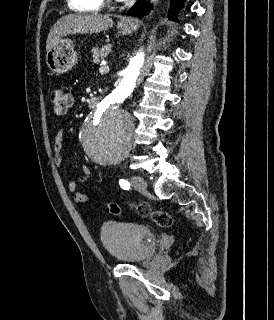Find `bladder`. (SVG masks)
Listing matches in <instances>:
<instances>
[{
	"instance_id": "bladder-1",
	"label": "bladder",
	"mask_w": 274,
	"mask_h": 320,
	"mask_svg": "<svg viewBox=\"0 0 274 320\" xmlns=\"http://www.w3.org/2000/svg\"><path fill=\"white\" fill-rule=\"evenodd\" d=\"M100 241L115 261L141 263L154 253L155 234L147 226L131 222H108L100 230Z\"/></svg>"
}]
</instances>
